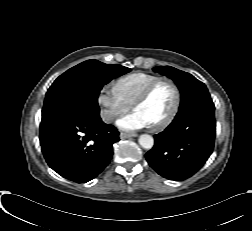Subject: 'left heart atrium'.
I'll return each instance as SVG.
<instances>
[{
  "instance_id": "39dd6f15",
  "label": "left heart atrium",
  "mask_w": 252,
  "mask_h": 231,
  "mask_svg": "<svg viewBox=\"0 0 252 231\" xmlns=\"http://www.w3.org/2000/svg\"><path fill=\"white\" fill-rule=\"evenodd\" d=\"M117 125L119 128L127 131L148 127L146 121L135 111L119 119Z\"/></svg>"
}]
</instances>
